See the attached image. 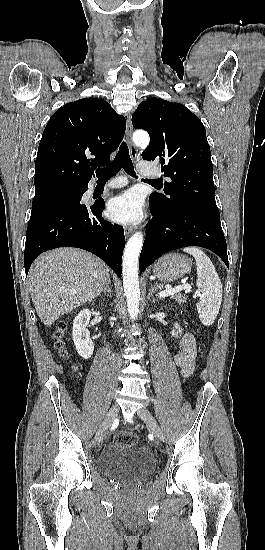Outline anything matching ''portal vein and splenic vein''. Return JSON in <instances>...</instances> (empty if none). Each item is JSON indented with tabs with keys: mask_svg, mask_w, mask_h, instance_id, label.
<instances>
[{
	"mask_svg": "<svg viewBox=\"0 0 265 550\" xmlns=\"http://www.w3.org/2000/svg\"><path fill=\"white\" fill-rule=\"evenodd\" d=\"M182 290H186V291L189 292V291H191V286L187 283H183V285H178V286H175L173 288H169V289H166L164 291H161L159 293V297L160 298L168 297V296L173 295L175 293H178ZM197 296L201 297V295L199 293H197Z\"/></svg>",
	"mask_w": 265,
	"mask_h": 550,
	"instance_id": "1",
	"label": "portal vein and splenic vein"
}]
</instances>
